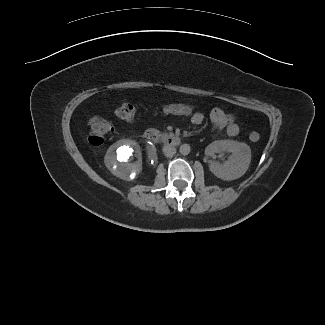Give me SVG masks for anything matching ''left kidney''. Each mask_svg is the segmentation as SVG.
I'll return each mask as SVG.
<instances>
[{
    "label": "left kidney",
    "instance_id": "1",
    "mask_svg": "<svg viewBox=\"0 0 325 325\" xmlns=\"http://www.w3.org/2000/svg\"><path fill=\"white\" fill-rule=\"evenodd\" d=\"M230 152L228 160L224 164L210 163L211 172L222 180H235L243 176L251 162V149L245 144L234 140H219L209 144L205 154L214 157L216 153Z\"/></svg>",
    "mask_w": 325,
    "mask_h": 325
}]
</instances>
